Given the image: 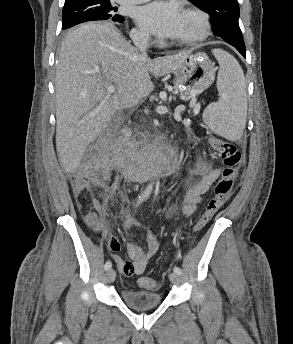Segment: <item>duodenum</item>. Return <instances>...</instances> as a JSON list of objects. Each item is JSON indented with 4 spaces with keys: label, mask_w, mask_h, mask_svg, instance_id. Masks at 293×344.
I'll return each mask as SVG.
<instances>
[{
    "label": "duodenum",
    "mask_w": 293,
    "mask_h": 344,
    "mask_svg": "<svg viewBox=\"0 0 293 344\" xmlns=\"http://www.w3.org/2000/svg\"><path fill=\"white\" fill-rule=\"evenodd\" d=\"M109 148H110V153H111V156H112L113 160H116V150H115V147L113 145H111ZM171 154L175 155L174 150H172ZM169 164H170V166H171V168L173 170H177L178 167H179L176 158H172L171 160H169ZM162 166H164V164H162Z\"/></svg>",
    "instance_id": "1"
}]
</instances>
